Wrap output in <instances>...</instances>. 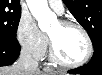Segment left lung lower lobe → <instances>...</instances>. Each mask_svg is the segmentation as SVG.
I'll return each instance as SVG.
<instances>
[{
    "label": "left lung lower lobe",
    "mask_w": 102,
    "mask_h": 75,
    "mask_svg": "<svg viewBox=\"0 0 102 75\" xmlns=\"http://www.w3.org/2000/svg\"><path fill=\"white\" fill-rule=\"evenodd\" d=\"M68 73L102 75V45L94 47V54L88 64L69 70Z\"/></svg>",
    "instance_id": "left-lung-lower-lobe-1"
}]
</instances>
